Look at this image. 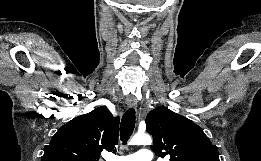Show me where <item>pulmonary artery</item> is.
Listing matches in <instances>:
<instances>
[{"instance_id":"e3ab8cb5","label":"pulmonary artery","mask_w":261,"mask_h":161,"mask_svg":"<svg viewBox=\"0 0 261 161\" xmlns=\"http://www.w3.org/2000/svg\"><path fill=\"white\" fill-rule=\"evenodd\" d=\"M111 161H151L148 149H140L128 156H111Z\"/></svg>"}]
</instances>
